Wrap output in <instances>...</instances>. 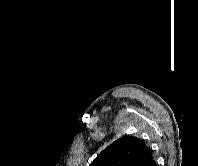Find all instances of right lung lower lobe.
Masks as SVG:
<instances>
[{"mask_svg":"<svg viewBox=\"0 0 198 166\" xmlns=\"http://www.w3.org/2000/svg\"><path fill=\"white\" fill-rule=\"evenodd\" d=\"M150 166H156L155 161H153V162L150 164Z\"/></svg>","mask_w":198,"mask_h":166,"instance_id":"right-lung-lower-lobe-1","label":"right lung lower lobe"}]
</instances>
